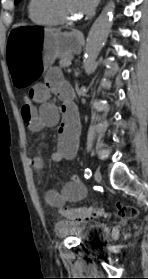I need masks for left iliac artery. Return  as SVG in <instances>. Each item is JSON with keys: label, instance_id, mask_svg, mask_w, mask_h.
Wrapping results in <instances>:
<instances>
[{"label": "left iliac artery", "instance_id": "1", "mask_svg": "<svg viewBox=\"0 0 148 279\" xmlns=\"http://www.w3.org/2000/svg\"><path fill=\"white\" fill-rule=\"evenodd\" d=\"M91 176H92L91 170L89 168H86L85 171H84V177L86 179H89Z\"/></svg>", "mask_w": 148, "mask_h": 279}]
</instances>
